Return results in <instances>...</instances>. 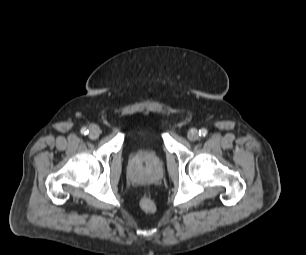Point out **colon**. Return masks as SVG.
<instances>
[{"instance_id": "1", "label": "colon", "mask_w": 306, "mask_h": 255, "mask_svg": "<svg viewBox=\"0 0 306 255\" xmlns=\"http://www.w3.org/2000/svg\"><path fill=\"white\" fill-rule=\"evenodd\" d=\"M140 207L146 213H154L156 210V205L149 196H143L140 199Z\"/></svg>"}]
</instances>
